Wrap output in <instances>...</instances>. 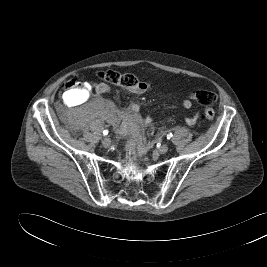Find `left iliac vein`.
Segmentation results:
<instances>
[{
  "mask_svg": "<svg viewBox=\"0 0 267 267\" xmlns=\"http://www.w3.org/2000/svg\"><path fill=\"white\" fill-rule=\"evenodd\" d=\"M169 147L167 144H162L159 148H158V152L160 154H165L168 151Z\"/></svg>",
  "mask_w": 267,
  "mask_h": 267,
  "instance_id": "4c4485c4",
  "label": "left iliac vein"
}]
</instances>
